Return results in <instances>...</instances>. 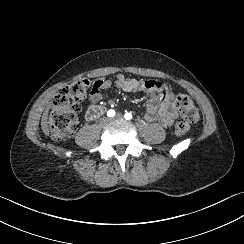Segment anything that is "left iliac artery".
I'll return each instance as SVG.
<instances>
[{"mask_svg": "<svg viewBox=\"0 0 244 244\" xmlns=\"http://www.w3.org/2000/svg\"><path fill=\"white\" fill-rule=\"evenodd\" d=\"M124 118L126 120H130V119H132V114L127 112V113H125Z\"/></svg>", "mask_w": 244, "mask_h": 244, "instance_id": "44dca946", "label": "left iliac artery"}]
</instances>
